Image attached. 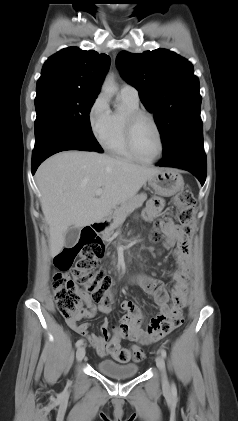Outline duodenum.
Returning a JSON list of instances; mask_svg holds the SVG:
<instances>
[{"label":"duodenum","instance_id":"obj_1","mask_svg":"<svg viewBox=\"0 0 238 421\" xmlns=\"http://www.w3.org/2000/svg\"><path fill=\"white\" fill-rule=\"evenodd\" d=\"M107 223L103 220H97L92 223L89 227H86L84 233H92L94 235L101 233L107 227Z\"/></svg>","mask_w":238,"mask_h":421}]
</instances>
